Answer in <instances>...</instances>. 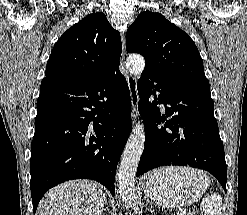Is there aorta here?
<instances>
[{"instance_id": "obj_1", "label": "aorta", "mask_w": 247, "mask_h": 215, "mask_svg": "<svg viewBox=\"0 0 247 215\" xmlns=\"http://www.w3.org/2000/svg\"><path fill=\"white\" fill-rule=\"evenodd\" d=\"M127 67L131 74L140 76L145 67L144 57L131 54L127 58ZM145 143V130L143 122L135 124L125 146L118 172V185L120 198L125 206L131 207L135 196V176Z\"/></svg>"}]
</instances>
